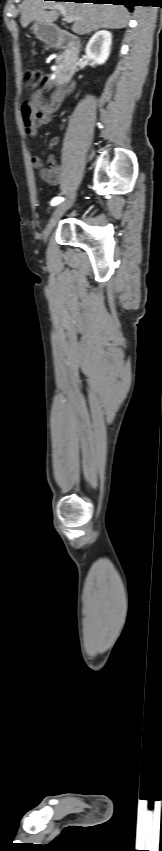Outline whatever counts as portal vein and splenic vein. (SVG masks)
<instances>
[{
    "mask_svg": "<svg viewBox=\"0 0 162 851\" xmlns=\"http://www.w3.org/2000/svg\"><path fill=\"white\" fill-rule=\"evenodd\" d=\"M58 10H59V11L61 12V14L64 16V20H65L67 23H71V22H73L74 20H76V19H77V18L73 17L72 15H69V14L67 13V11L65 10V8H64V7H58Z\"/></svg>",
    "mask_w": 162,
    "mask_h": 851,
    "instance_id": "portal-vein-and-splenic-vein-1",
    "label": "portal vein and splenic vein"
}]
</instances>
